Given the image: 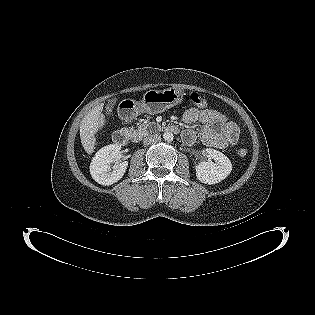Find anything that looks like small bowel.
<instances>
[{"label": "small bowel", "instance_id": "obj_1", "mask_svg": "<svg viewBox=\"0 0 315 315\" xmlns=\"http://www.w3.org/2000/svg\"><path fill=\"white\" fill-rule=\"evenodd\" d=\"M183 122L187 125L194 123L203 125L199 133L190 128L183 132V140L188 145L200 140L206 146L224 149L235 145L239 139L237 125L214 109L191 108L184 113Z\"/></svg>", "mask_w": 315, "mask_h": 315}]
</instances>
